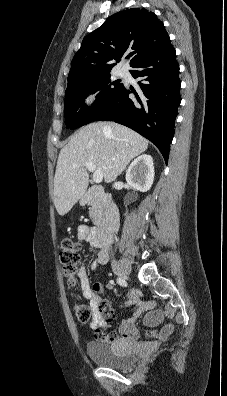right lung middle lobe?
<instances>
[{
	"mask_svg": "<svg viewBox=\"0 0 227 396\" xmlns=\"http://www.w3.org/2000/svg\"><path fill=\"white\" fill-rule=\"evenodd\" d=\"M123 87L119 81L112 82L110 73L79 82L66 89L65 123L67 128L75 129L93 121ZM96 102L90 108L84 104L89 94L98 92Z\"/></svg>",
	"mask_w": 227,
	"mask_h": 396,
	"instance_id": "right-lung-middle-lobe-1",
	"label": "right lung middle lobe"
}]
</instances>
